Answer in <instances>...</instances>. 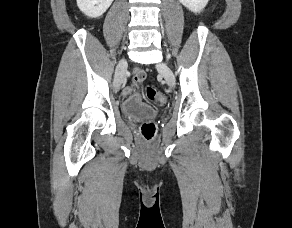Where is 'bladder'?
<instances>
[{
	"instance_id": "obj_1",
	"label": "bladder",
	"mask_w": 292,
	"mask_h": 228,
	"mask_svg": "<svg viewBox=\"0 0 292 228\" xmlns=\"http://www.w3.org/2000/svg\"><path fill=\"white\" fill-rule=\"evenodd\" d=\"M123 111L125 115L134 119L152 118L156 115L155 109L149 105L134 100L125 102L123 105Z\"/></svg>"
}]
</instances>
